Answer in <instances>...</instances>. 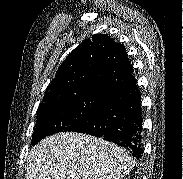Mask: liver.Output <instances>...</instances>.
Masks as SVG:
<instances>
[{
	"mask_svg": "<svg viewBox=\"0 0 183 179\" xmlns=\"http://www.w3.org/2000/svg\"><path fill=\"white\" fill-rule=\"evenodd\" d=\"M132 169L125 149L91 135L63 132L31 149L26 179H120Z\"/></svg>",
	"mask_w": 183,
	"mask_h": 179,
	"instance_id": "6515ba94",
	"label": "liver"
}]
</instances>
